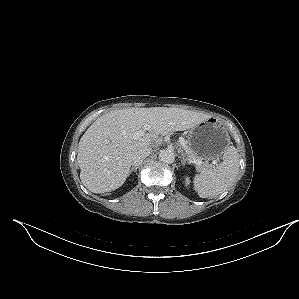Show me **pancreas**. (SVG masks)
Here are the masks:
<instances>
[{
  "instance_id": "1",
  "label": "pancreas",
  "mask_w": 299,
  "mask_h": 299,
  "mask_svg": "<svg viewBox=\"0 0 299 299\" xmlns=\"http://www.w3.org/2000/svg\"><path fill=\"white\" fill-rule=\"evenodd\" d=\"M186 146H187V150H188V153L187 154V157L191 160V159H199L200 158L196 155V153L191 149V147L189 146V144L186 143Z\"/></svg>"
}]
</instances>
